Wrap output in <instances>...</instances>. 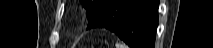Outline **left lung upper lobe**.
Instances as JSON below:
<instances>
[{"mask_svg": "<svg viewBox=\"0 0 213 48\" xmlns=\"http://www.w3.org/2000/svg\"><path fill=\"white\" fill-rule=\"evenodd\" d=\"M109 1L110 0H81L83 6L87 10L88 21H90Z\"/></svg>", "mask_w": 213, "mask_h": 48, "instance_id": "1", "label": "left lung upper lobe"}]
</instances>
